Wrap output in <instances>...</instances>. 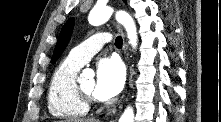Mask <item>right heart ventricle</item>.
I'll use <instances>...</instances> for the list:
<instances>
[{
  "label": "right heart ventricle",
  "mask_w": 221,
  "mask_h": 122,
  "mask_svg": "<svg viewBox=\"0 0 221 122\" xmlns=\"http://www.w3.org/2000/svg\"><path fill=\"white\" fill-rule=\"evenodd\" d=\"M81 65L69 57L55 69L47 92L48 110L57 118H79L89 107L80 99L76 90V77Z\"/></svg>",
  "instance_id": "obj_1"
}]
</instances>
